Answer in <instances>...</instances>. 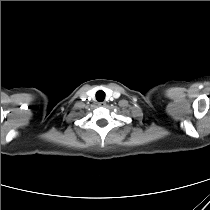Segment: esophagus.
<instances>
[{
  "instance_id": "1",
  "label": "esophagus",
  "mask_w": 210,
  "mask_h": 210,
  "mask_svg": "<svg viewBox=\"0 0 210 210\" xmlns=\"http://www.w3.org/2000/svg\"><path fill=\"white\" fill-rule=\"evenodd\" d=\"M98 105H99L100 107H104V106L106 105V103H105V102H99Z\"/></svg>"
}]
</instances>
